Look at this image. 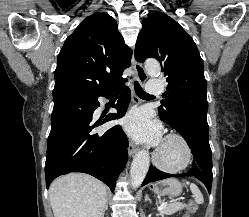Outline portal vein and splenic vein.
I'll return each mask as SVG.
<instances>
[{
    "label": "portal vein and splenic vein",
    "mask_w": 249,
    "mask_h": 217,
    "mask_svg": "<svg viewBox=\"0 0 249 217\" xmlns=\"http://www.w3.org/2000/svg\"><path fill=\"white\" fill-rule=\"evenodd\" d=\"M167 206V203H162L159 207H158V211H161L162 209H164Z\"/></svg>",
    "instance_id": "18ae733b"
}]
</instances>
